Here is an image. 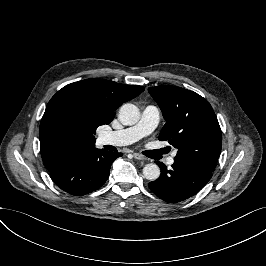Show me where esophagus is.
Returning a JSON list of instances; mask_svg holds the SVG:
<instances>
[{"label": "esophagus", "instance_id": "1", "mask_svg": "<svg viewBox=\"0 0 266 266\" xmlns=\"http://www.w3.org/2000/svg\"><path fill=\"white\" fill-rule=\"evenodd\" d=\"M134 158L137 160H145L146 158L140 153H134Z\"/></svg>", "mask_w": 266, "mask_h": 266}]
</instances>
